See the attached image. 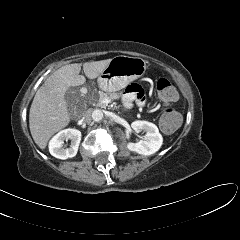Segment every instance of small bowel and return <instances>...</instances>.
I'll return each instance as SVG.
<instances>
[{
    "label": "small bowel",
    "mask_w": 240,
    "mask_h": 240,
    "mask_svg": "<svg viewBox=\"0 0 240 240\" xmlns=\"http://www.w3.org/2000/svg\"><path fill=\"white\" fill-rule=\"evenodd\" d=\"M123 102L128 107H130L133 102L143 106L145 104V95L142 87L138 84L128 85L123 94Z\"/></svg>",
    "instance_id": "c3829d8e"
}]
</instances>
